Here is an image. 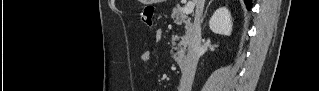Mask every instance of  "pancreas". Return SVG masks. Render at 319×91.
I'll list each match as a JSON object with an SVG mask.
<instances>
[{"label":"pancreas","instance_id":"cf45deb5","mask_svg":"<svg viewBox=\"0 0 319 91\" xmlns=\"http://www.w3.org/2000/svg\"><path fill=\"white\" fill-rule=\"evenodd\" d=\"M171 17L174 20L175 24H178V25L185 24V35L182 37H178V36L172 37L171 56L176 62L181 63L183 61L186 47L190 39L192 25H191L189 17L183 14L181 7H175L173 9ZM180 38L181 40L179 41Z\"/></svg>","mask_w":319,"mask_h":91}]
</instances>
